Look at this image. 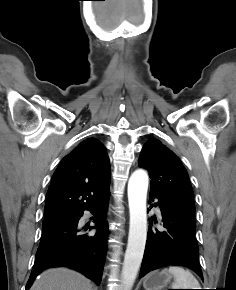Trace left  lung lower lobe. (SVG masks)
<instances>
[{
  "label": "left lung lower lobe",
  "instance_id": "0a47b994",
  "mask_svg": "<svg viewBox=\"0 0 236 290\" xmlns=\"http://www.w3.org/2000/svg\"><path fill=\"white\" fill-rule=\"evenodd\" d=\"M149 197L152 201L157 200L154 205L159 206L161 210L165 229H152L153 219L150 218L139 278L149 271L167 265L189 267L202 278L198 244L195 238V221L182 214L171 202L155 193L150 192ZM154 221L156 222V219Z\"/></svg>",
  "mask_w": 236,
  "mask_h": 290
}]
</instances>
